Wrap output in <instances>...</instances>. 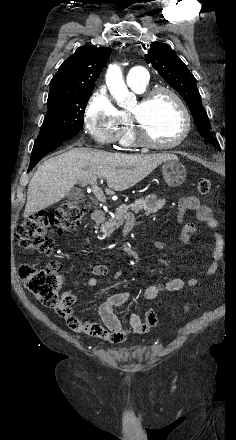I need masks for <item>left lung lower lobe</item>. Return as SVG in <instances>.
<instances>
[{"label": "left lung lower lobe", "instance_id": "0a47b994", "mask_svg": "<svg viewBox=\"0 0 236 440\" xmlns=\"http://www.w3.org/2000/svg\"><path fill=\"white\" fill-rule=\"evenodd\" d=\"M205 143H210L211 145H213L215 148H217L220 151V146H219L217 140L214 139V137L206 139Z\"/></svg>", "mask_w": 236, "mask_h": 440}]
</instances>
